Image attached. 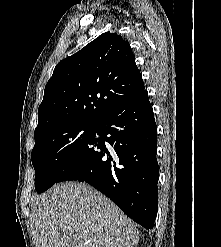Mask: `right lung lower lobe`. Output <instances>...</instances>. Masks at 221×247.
I'll use <instances>...</instances> for the list:
<instances>
[{"label": "right lung lower lobe", "mask_w": 221, "mask_h": 247, "mask_svg": "<svg viewBox=\"0 0 221 247\" xmlns=\"http://www.w3.org/2000/svg\"><path fill=\"white\" fill-rule=\"evenodd\" d=\"M157 127L148 92L109 112L56 183L83 181L131 219L152 229L158 207Z\"/></svg>", "instance_id": "98d812e1"}]
</instances>
